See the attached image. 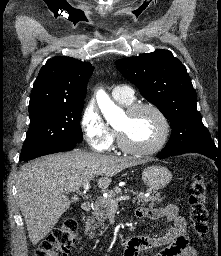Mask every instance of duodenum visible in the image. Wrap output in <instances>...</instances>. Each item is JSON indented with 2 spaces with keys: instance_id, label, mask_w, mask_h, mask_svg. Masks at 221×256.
I'll use <instances>...</instances> for the list:
<instances>
[{
  "instance_id": "410a0bca",
  "label": "duodenum",
  "mask_w": 221,
  "mask_h": 256,
  "mask_svg": "<svg viewBox=\"0 0 221 256\" xmlns=\"http://www.w3.org/2000/svg\"><path fill=\"white\" fill-rule=\"evenodd\" d=\"M81 209H82V211H84V212H89V211L92 209V203L89 202V201L83 202V203L81 204ZM129 241H130V238H124V239L121 241V245H122L123 247H125V246L128 244Z\"/></svg>"
}]
</instances>
